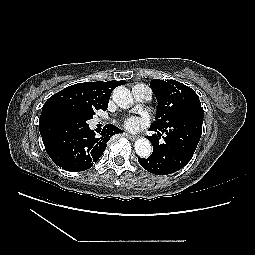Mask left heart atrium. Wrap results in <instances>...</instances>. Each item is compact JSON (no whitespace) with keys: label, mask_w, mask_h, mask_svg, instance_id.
<instances>
[{"label":"left heart atrium","mask_w":255,"mask_h":255,"mask_svg":"<svg viewBox=\"0 0 255 255\" xmlns=\"http://www.w3.org/2000/svg\"><path fill=\"white\" fill-rule=\"evenodd\" d=\"M125 126L129 129H134L137 126V120L135 118H128L125 121Z\"/></svg>","instance_id":"1"}]
</instances>
